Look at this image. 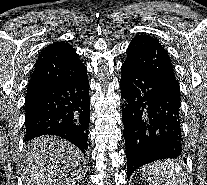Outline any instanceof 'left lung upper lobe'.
I'll return each instance as SVG.
<instances>
[{
	"mask_svg": "<svg viewBox=\"0 0 207 185\" xmlns=\"http://www.w3.org/2000/svg\"><path fill=\"white\" fill-rule=\"evenodd\" d=\"M125 65L134 72H140L158 79L179 95L172 63L158 40L148 35H137L128 46Z\"/></svg>",
	"mask_w": 207,
	"mask_h": 185,
	"instance_id": "obj_1",
	"label": "left lung upper lobe"
}]
</instances>
